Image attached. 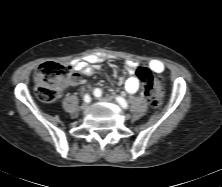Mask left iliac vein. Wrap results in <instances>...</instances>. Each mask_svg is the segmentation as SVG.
<instances>
[{
    "instance_id": "4c4485c4",
    "label": "left iliac vein",
    "mask_w": 222,
    "mask_h": 187,
    "mask_svg": "<svg viewBox=\"0 0 222 187\" xmlns=\"http://www.w3.org/2000/svg\"><path fill=\"white\" fill-rule=\"evenodd\" d=\"M98 100L102 101V102H112V100L110 98L99 97Z\"/></svg>"
}]
</instances>
